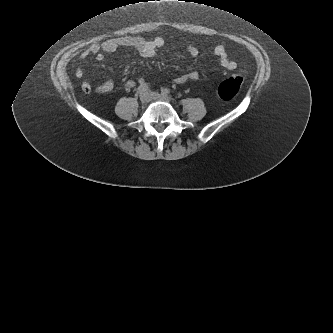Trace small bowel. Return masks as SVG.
<instances>
[{"instance_id": "1", "label": "small bowel", "mask_w": 333, "mask_h": 333, "mask_svg": "<svg viewBox=\"0 0 333 333\" xmlns=\"http://www.w3.org/2000/svg\"><path fill=\"white\" fill-rule=\"evenodd\" d=\"M166 43L161 38H155L151 40L144 39L142 37L136 36H124L118 38H111L105 40L101 43H93L89 45L86 49L82 51L80 54V64L75 69V77L81 78L84 74V70L82 67V62L90 55H94L98 61H103L105 56L104 53L114 52L119 48L130 47L136 49L139 54L144 58L153 57L156 52L164 48ZM187 52L195 57L198 55V49L189 45L187 47ZM214 55L218 58L220 65L226 70H234L236 68V63L231 60L227 54V51L224 46L219 45L214 49ZM199 78V73L197 71H191L189 73L183 74L181 76L176 77L173 80L174 84H183L187 81H195ZM139 83L143 86H147L143 79L139 80ZM135 86L133 81H128L125 83V87L130 89ZM82 90L85 93H90L92 91V85L88 81H84L81 85ZM114 88V81L112 79H107L100 86L96 88V92L98 93H108L112 91Z\"/></svg>"}]
</instances>
